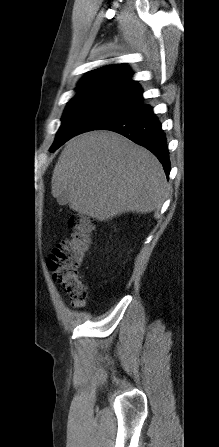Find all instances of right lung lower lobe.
I'll return each instance as SVG.
<instances>
[{
	"label": "right lung lower lobe",
	"instance_id": "obj_1",
	"mask_svg": "<svg viewBox=\"0 0 219 447\" xmlns=\"http://www.w3.org/2000/svg\"><path fill=\"white\" fill-rule=\"evenodd\" d=\"M96 130H111L124 135L151 151L163 165L167 178L170 173L169 153L161 123L153 109L141 104L134 110L109 120Z\"/></svg>",
	"mask_w": 219,
	"mask_h": 447
}]
</instances>
